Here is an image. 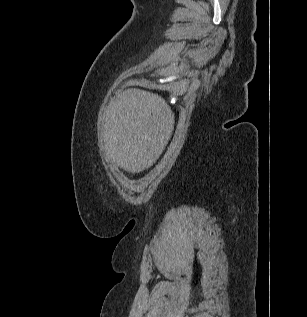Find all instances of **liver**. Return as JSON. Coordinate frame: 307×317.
Instances as JSON below:
<instances>
[{
	"instance_id": "6515ba94",
	"label": "liver",
	"mask_w": 307,
	"mask_h": 317,
	"mask_svg": "<svg viewBox=\"0 0 307 317\" xmlns=\"http://www.w3.org/2000/svg\"><path fill=\"white\" fill-rule=\"evenodd\" d=\"M175 117L157 94L131 88L111 99L103 117L107 156L127 172L150 168L164 151Z\"/></svg>"
}]
</instances>
